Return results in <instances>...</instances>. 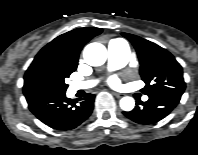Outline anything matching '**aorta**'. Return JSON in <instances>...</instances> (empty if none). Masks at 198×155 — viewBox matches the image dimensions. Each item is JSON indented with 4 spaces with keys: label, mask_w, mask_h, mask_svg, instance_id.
I'll use <instances>...</instances> for the list:
<instances>
[{
    "label": "aorta",
    "mask_w": 198,
    "mask_h": 155,
    "mask_svg": "<svg viewBox=\"0 0 198 155\" xmlns=\"http://www.w3.org/2000/svg\"><path fill=\"white\" fill-rule=\"evenodd\" d=\"M83 57L87 64L91 66H101L107 59V50L101 43H90L83 51ZM120 108L124 111H131L135 106V101L132 97L126 96L120 100Z\"/></svg>",
    "instance_id": "aorta-1"
}]
</instances>
